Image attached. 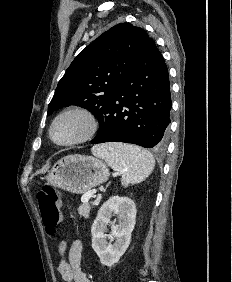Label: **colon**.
Returning <instances> with one entry per match:
<instances>
[{
  "instance_id": "colon-1",
  "label": "colon",
  "mask_w": 232,
  "mask_h": 282,
  "mask_svg": "<svg viewBox=\"0 0 232 282\" xmlns=\"http://www.w3.org/2000/svg\"><path fill=\"white\" fill-rule=\"evenodd\" d=\"M36 197L46 232L52 235L56 232L61 220L62 200L60 194L55 188L44 186Z\"/></svg>"
}]
</instances>
